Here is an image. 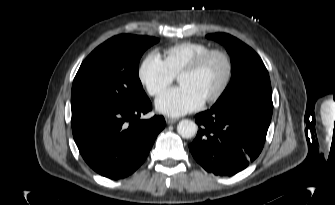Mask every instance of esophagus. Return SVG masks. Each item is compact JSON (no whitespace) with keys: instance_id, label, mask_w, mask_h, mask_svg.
I'll return each instance as SVG.
<instances>
[{"instance_id":"esophagus-1","label":"esophagus","mask_w":335,"mask_h":205,"mask_svg":"<svg viewBox=\"0 0 335 205\" xmlns=\"http://www.w3.org/2000/svg\"><path fill=\"white\" fill-rule=\"evenodd\" d=\"M177 122V119H175V118H166V123L167 124H174V123H176Z\"/></svg>"}]
</instances>
